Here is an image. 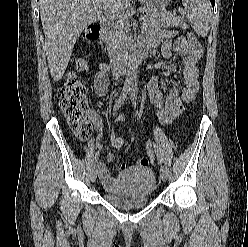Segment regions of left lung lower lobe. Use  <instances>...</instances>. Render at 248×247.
Listing matches in <instances>:
<instances>
[{"label": "left lung lower lobe", "mask_w": 248, "mask_h": 247, "mask_svg": "<svg viewBox=\"0 0 248 247\" xmlns=\"http://www.w3.org/2000/svg\"><path fill=\"white\" fill-rule=\"evenodd\" d=\"M210 1H211L212 6L214 7V5H215V0H210Z\"/></svg>", "instance_id": "left-lung-lower-lobe-1"}]
</instances>
